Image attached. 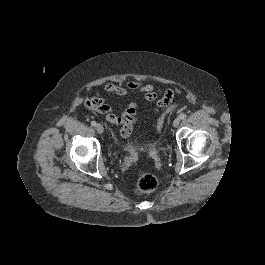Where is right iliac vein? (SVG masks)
<instances>
[{"instance_id": "63e3f726", "label": "right iliac vein", "mask_w": 265, "mask_h": 265, "mask_svg": "<svg viewBox=\"0 0 265 265\" xmlns=\"http://www.w3.org/2000/svg\"><path fill=\"white\" fill-rule=\"evenodd\" d=\"M96 130H97L98 133L101 134V133H103L104 128H103V126L101 124H97L96 125Z\"/></svg>"}]
</instances>
